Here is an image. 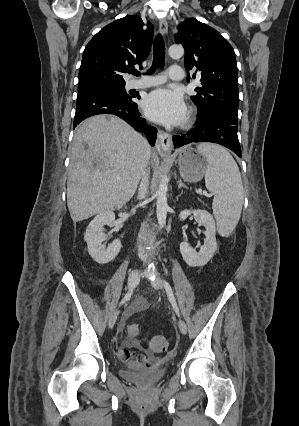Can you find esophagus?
Returning a JSON list of instances; mask_svg holds the SVG:
<instances>
[{
  "label": "esophagus",
  "mask_w": 299,
  "mask_h": 426,
  "mask_svg": "<svg viewBox=\"0 0 299 426\" xmlns=\"http://www.w3.org/2000/svg\"><path fill=\"white\" fill-rule=\"evenodd\" d=\"M159 30L163 36H166L168 32V24L165 19H161L159 21ZM171 144H172L171 135L166 132L159 131L158 137H157V143H156L157 149L160 152L169 153L171 150Z\"/></svg>",
  "instance_id": "1"
}]
</instances>
